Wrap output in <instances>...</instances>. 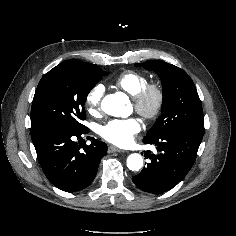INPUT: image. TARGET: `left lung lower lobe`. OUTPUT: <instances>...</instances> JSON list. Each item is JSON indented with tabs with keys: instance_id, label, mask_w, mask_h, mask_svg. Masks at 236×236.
I'll return each mask as SVG.
<instances>
[{
	"instance_id": "obj_1",
	"label": "left lung lower lobe",
	"mask_w": 236,
	"mask_h": 236,
	"mask_svg": "<svg viewBox=\"0 0 236 236\" xmlns=\"http://www.w3.org/2000/svg\"><path fill=\"white\" fill-rule=\"evenodd\" d=\"M202 138V134L187 131L144 137L143 142L156 145L159 153L144 151L150 162L132 177L134 184L152 194H162L175 187L193 166Z\"/></svg>"
}]
</instances>
